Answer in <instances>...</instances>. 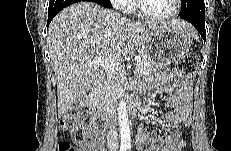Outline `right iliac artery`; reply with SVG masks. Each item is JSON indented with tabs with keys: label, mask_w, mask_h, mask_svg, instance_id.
<instances>
[{
	"label": "right iliac artery",
	"mask_w": 231,
	"mask_h": 151,
	"mask_svg": "<svg viewBox=\"0 0 231 151\" xmlns=\"http://www.w3.org/2000/svg\"><path fill=\"white\" fill-rule=\"evenodd\" d=\"M127 147L126 146H121L120 151H126Z\"/></svg>",
	"instance_id": "right-iliac-artery-1"
}]
</instances>
